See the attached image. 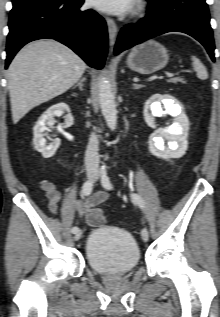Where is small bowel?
Instances as JSON below:
<instances>
[{"instance_id":"1","label":"small bowel","mask_w":220,"mask_h":317,"mask_svg":"<svg viewBox=\"0 0 220 317\" xmlns=\"http://www.w3.org/2000/svg\"><path fill=\"white\" fill-rule=\"evenodd\" d=\"M41 189L45 193L46 201L45 205L47 209L52 214H57L58 212V203L61 199L60 192L56 189L55 185L49 181H43L41 183ZM109 197V193L105 191L97 192L90 197H88L85 201L76 200L71 203L70 207L74 210L79 216H85L92 208L99 205L100 203L107 200Z\"/></svg>"}]
</instances>
